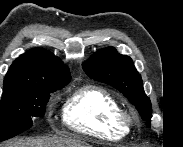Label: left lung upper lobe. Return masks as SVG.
<instances>
[{
	"label": "left lung upper lobe",
	"mask_w": 183,
	"mask_h": 147,
	"mask_svg": "<svg viewBox=\"0 0 183 147\" xmlns=\"http://www.w3.org/2000/svg\"><path fill=\"white\" fill-rule=\"evenodd\" d=\"M86 74L99 82L119 90L151 127V102L146 96L140 74L129 56L121 55L113 47L97 51L89 61L83 63Z\"/></svg>",
	"instance_id": "1"
}]
</instances>
